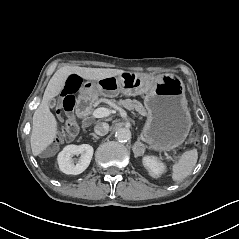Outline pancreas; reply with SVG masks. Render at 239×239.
I'll return each mask as SVG.
<instances>
[{
    "label": "pancreas",
    "instance_id": "obj_1",
    "mask_svg": "<svg viewBox=\"0 0 239 239\" xmlns=\"http://www.w3.org/2000/svg\"><path fill=\"white\" fill-rule=\"evenodd\" d=\"M119 104L130 111H137L140 115L145 114L143 105L139 103L137 100L125 99L121 100ZM113 108L116 109L117 105L115 104Z\"/></svg>",
    "mask_w": 239,
    "mask_h": 239
}]
</instances>
